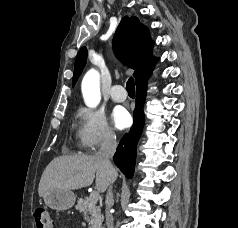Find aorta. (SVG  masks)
<instances>
[{
	"mask_svg": "<svg viewBox=\"0 0 238 228\" xmlns=\"http://www.w3.org/2000/svg\"><path fill=\"white\" fill-rule=\"evenodd\" d=\"M82 94L88 107H96L100 100V76L95 69L89 70L82 80Z\"/></svg>",
	"mask_w": 238,
	"mask_h": 228,
	"instance_id": "aorta-1",
	"label": "aorta"
}]
</instances>
